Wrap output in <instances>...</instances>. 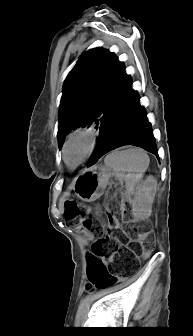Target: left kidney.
<instances>
[{
    "instance_id": "5707ae66",
    "label": "left kidney",
    "mask_w": 193,
    "mask_h": 336,
    "mask_svg": "<svg viewBox=\"0 0 193 336\" xmlns=\"http://www.w3.org/2000/svg\"><path fill=\"white\" fill-rule=\"evenodd\" d=\"M157 190V180L148 176L138 187L136 196L132 200V215L136 220L150 217L152 204Z\"/></svg>"
}]
</instances>
